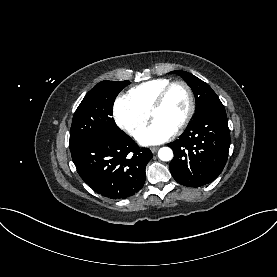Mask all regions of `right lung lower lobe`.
Instances as JSON below:
<instances>
[{"instance_id":"98d812e1","label":"right lung lower lobe","mask_w":277,"mask_h":277,"mask_svg":"<svg viewBox=\"0 0 277 277\" xmlns=\"http://www.w3.org/2000/svg\"><path fill=\"white\" fill-rule=\"evenodd\" d=\"M70 151L82 180L111 199L126 198L140 190L152 158L148 148H138L128 135L97 136Z\"/></svg>"}]
</instances>
